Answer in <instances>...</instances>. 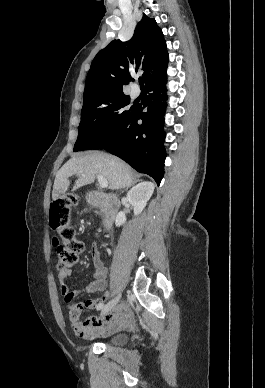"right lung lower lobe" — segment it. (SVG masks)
<instances>
[{
    "label": "right lung lower lobe",
    "mask_w": 265,
    "mask_h": 388,
    "mask_svg": "<svg viewBox=\"0 0 265 388\" xmlns=\"http://www.w3.org/2000/svg\"><path fill=\"white\" fill-rule=\"evenodd\" d=\"M167 75L164 74L149 82V93L144 107L134 106V109L117 136L106 146L105 150L122 158L138 172L154 178L159 185L164 174L166 158L163 146L165 132L163 131L164 106L166 99L163 85ZM147 107V111L143 109ZM142 120L139 124L138 121Z\"/></svg>",
    "instance_id": "1"
}]
</instances>
